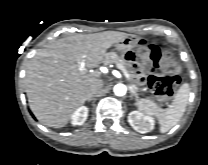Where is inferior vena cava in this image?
<instances>
[{"mask_svg":"<svg viewBox=\"0 0 208 165\" xmlns=\"http://www.w3.org/2000/svg\"><path fill=\"white\" fill-rule=\"evenodd\" d=\"M103 86L102 80H98L94 83H92L88 88L89 94H95L99 89H101Z\"/></svg>","mask_w":208,"mask_h":165,"instance_id":"inferior-vena-cava-1","label":"inferior vena cava"}]
</instances>
